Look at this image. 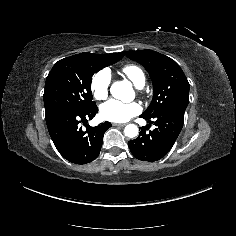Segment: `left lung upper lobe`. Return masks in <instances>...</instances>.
<instances>
[{
	"mask_svg": "<svg viewBox=\"0 0 236 236\" xmlns=\"http://www.w3.org/2000/svg\"><path fill=\"white\" fill-rule=\"evenodd\" d=\"M124 53L146 68L153 83V99L141 116H154L176 105L187 107L190 86L181 67L173 59L153 50Z\"/></svg>",
	"mask_w": 236,
	"mask_h": 236,
	"instance_id": "1",
	"label": "left lung upper lobe"
}]
</instances>
